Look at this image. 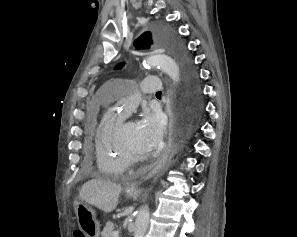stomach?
Instances as JSON below:
<instances>
[{"label":"stomach","mask_w":297,"mask_h":237,"mask_svg":"<svg viewBox=\"0 0 297 237\" xmlns=\"http://www.w3.org/2000/svg\"><path fill=\"white\" fill-rule=\"evenodd\" d=\"M127 197L137 195L136 191H126ZM75 213L80 231L85 237H99L100 224L96 219L95 211L86 203H78L75 206Z\"/></svg>","instance_id":"0dacf381"}]
</instances>
